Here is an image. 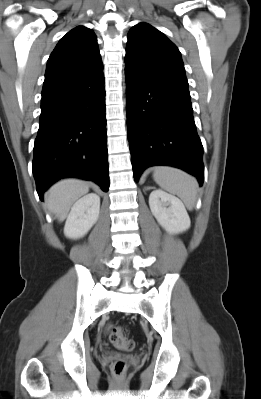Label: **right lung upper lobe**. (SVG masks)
I'll return each mask as SVG.
<instances>
[{
  "mask_svg": "<svg viewBox=\"0 0 261 399\" xmlns=\"http://www.w3.org/2000/svg\"><path fill=\"white\" fill-rule=\"evenodd\" d=\"M95 33L84 26L69 31L51 53L42 96L70 88L103 74Z\"/></svg>",
  "mask_w": 261,
  "mask_h": 399,
  "instance_id": "obj_1",
  "label": "right lung upper lobe"
}]
</instances>
